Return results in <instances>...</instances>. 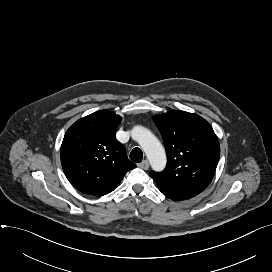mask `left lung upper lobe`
<instances>
[{"mask_svg": "<svg viewBox=\"0 0 272 272\" xmlns=\"http://www.w3.org/2000/svg\"><path fill=\"white\" fill-rule=\"evenodd\" d=\"M166 147L167 166L150 172L159 190L174 201L190 199L210 184L218 164L220 145L211 125L194 113L172 110L156 115Z\"/></svg>", "mask_w": 272, "mask_h": 272, "instance_id": "5c2ea615", "label": "left lung upper lobe"}]
</instances>
